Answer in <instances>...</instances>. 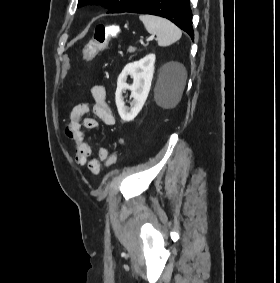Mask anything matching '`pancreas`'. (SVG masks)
Returning a JSON list of instances; mask_svg holds the SVG:
<instances>
[{
  "label": "pancreas",
  "mask_w": 280,
  "mask_h": 283,
  "mask_svg": "<svg viewBox=\"0 0 280 283\" xmlns=\"http://www.w3.org/2000/svg\"><path fill=\"white\" fill-rule=\"evenodd\" d=\"M136 51V48L135 47H129L128 48V52L129 53H134Z\"/></svg>",
  "instance_id": "pancreas-1"
}]
</instances>
